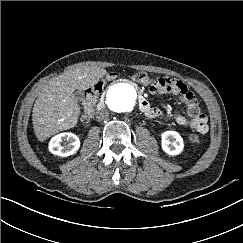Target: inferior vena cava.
<instances>
[{
    "label": "inferior vena cava",
    "instance_id": "inferior-vena-cava-1",
    "mask_svg": "<svg viewBox=\"0 0 243 243\" xmlns=\"http://www.w3.org/2000/svg\"><path fill=\"white\" fill-rule=\"evenodd\" d=\"M108 117H109V112L105 109L96 112V119L98 121H104L108 119Z\"/></svg>",
    "mask_w": 243,
    "mask_h": 243
}]
</instances>
